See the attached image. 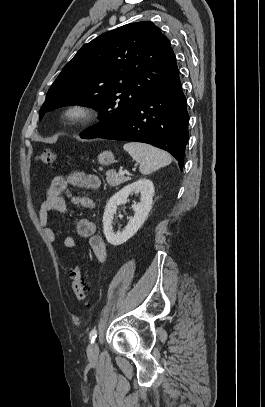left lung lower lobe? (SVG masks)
<instances>
[{
  "instance_id": "0a47b994",
  "label": "left lung lower lobe",
  "mask_w": 265,
  "mask_h": 407,
  "mask_svg": "<svg viewBox=\"0 0 265 407\" xmlns=\"http://www.w3.org/2000/svg\"><path fill=\"white\" fill-rule=\"evenodd\" d=\"M189 115L179 72L155 87L120 123L97 137L137 141L170 152L184 165Z\"/></svg>"
}]
</instances>
